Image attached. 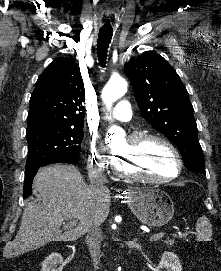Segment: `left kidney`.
<instances>
[{
	"instance_id": "left-kidney-1",
	"label": "left kidney",
	"mask_w": 221,
	"mask_h": 271,
	"mask_svg": "<svg viewBox=\"0 0 221 271\" xmlns=\"http://www.w3.org/2000/svg\"><path fill=\"white\" fill-rule=\"evenodd\" d=\"M153 271H182L181 261L174 251H164Z\"/></svg>"
}]
</instances>
